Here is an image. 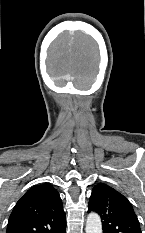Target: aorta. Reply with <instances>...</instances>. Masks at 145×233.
<instances>
[{
  "mask_svg": "<svg viewBox=\"0 0 145 233\" xmlns=\"http://www.w3.org/2000/svg\"><path fill=\"white\" fill-rule=\"evenodd\" d=\"M86 233H102V224L100 216L96 213H90L86 220Z\"/></svg>",
  "mask_w": 145,
  "mask_h": 233,
  "instance_id": "obj_1",
  "label": "aorta"
}]
</instances>
